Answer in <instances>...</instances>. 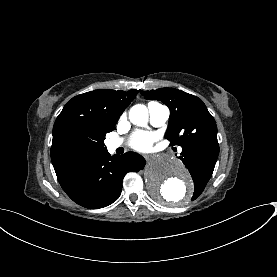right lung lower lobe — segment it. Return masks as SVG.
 Listing matches in <instances>:
<instances>
[{
	"mask_svg": "<svg viewBox=\"0 0 277 277\" xmlns=\"http://www.w3.org/2000/svg\"><path fill=\"white\" fill-rule=\"evenodd\" d=\"M145 163L136 153L111 157L105 150L55 172L61 187L74 202L98 209L115 202L121 194L124 176L143 169Z\"/></svg>",
	"mask_w": 277,
	"mask_h": 277,
	"instance_id": "1",
	"label": "right lung lower lobe"
}]
</instances>
